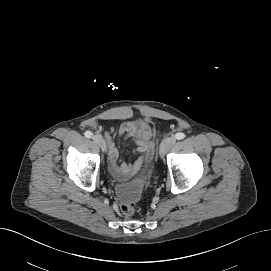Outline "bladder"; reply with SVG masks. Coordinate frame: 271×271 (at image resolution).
Returning a JSON list of instances; mask_svg holds the SVG:
<instances>
[{
    "instance_id": "31cf9c89",
    "label": "bladder",
    "mask_w": 271,
    "mask_h": 271,
    "mask_svg": "<svg viewBox=\"0 0 271 271\" xmlns=\"http://www.w3.org/2000/svg\"><path fill=\"white\" fill-rule=\"evenodd\" d=\"M143 187V180L119 183L115 187V193L119 200L127 203H135L141 198Z\"/></svg>"
}]
</instances>
